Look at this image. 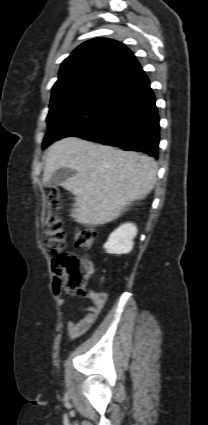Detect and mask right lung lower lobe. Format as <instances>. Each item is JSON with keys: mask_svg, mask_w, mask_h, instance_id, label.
<instances>
[{"mask_svg": "<svg viewBox=\"0 0 208 425\" xmlns=\"http://www.w3.org/2000/svg\"><path fill=\"white\" fill-rule=\"evenodd\" d=\"M159 116L150 82L137 62L86 106L57 119L51 143L77 136L158 158Z\"/></svg>", "mask_w": 208, "mask_h": 425, "instance_id": "right-lung-lower-lobe-1", "label": "right lung lower lobe"}]
</instances>
